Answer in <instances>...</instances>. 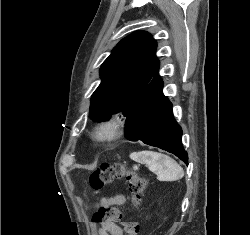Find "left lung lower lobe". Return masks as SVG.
<instances>
[{
    "label": "left lung lower lobe",
    "instance_id": "left-lung-lower-lobe-1",
    "mask_svg": "<svg viewBox=\"0 0 250 235\" xmlns=\"http://www.w3.org/2000/svg\"><path fill=\"white\" fill-rule=\"evenodd\" d=\"M157 73L135 102L127 118L125 133L130 141H143L173 153L188 164L181 142L182 130L172 114V104Z\"/></svg>",
    "mask_w": 250,
    "mask_h": 235
}]
</instances>
